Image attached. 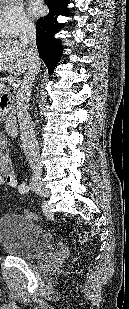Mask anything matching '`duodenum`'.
Listing matches in <instances>:
<instances>
[{"label":"duodenum","instance_id":"duodenum-1","mask_svg":"<svg viewBox=\"0 0 129 309\" xmlns=\"http://www.w3.org/2000/svg\"><path fill=\"white\" fill-rule=\"evenodd\" d=\"M0 109L4 115V127L9 136H15L18 130L16 117L12 113V105L9 102L1 101Z\"/></svg>","mask_w":129,"mask_h":309}]
</instances>
